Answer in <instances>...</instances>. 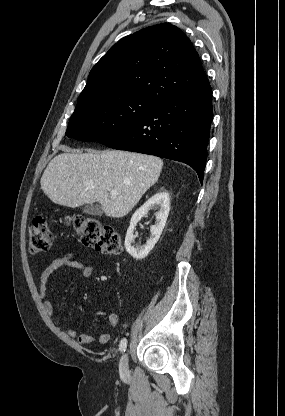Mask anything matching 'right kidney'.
Instances as JSON below:
<instances>
[{
  "mask_svg": "<svg viewBox=\"0 0 285 416\" xmlns=\"http://www.w3.org/2000/svg\"><path fill=\"white\" fill-rule=\"evenodd\" d=\"M151 208H158L159 212L156 214V224L155 226H150L151 236L148 238L145 246H139V248H134L131 242L133 240V232L135 230V226H137L138 222H140L141 218H144L146 214H148ZM170 210V198L167 192H158L152 198H149L139 210H136L135 214H133L130 220V226L127 230L126 238H125V248L130 254L133 256L135 260H143L148 256L149 252H151L152 248H154L156 242H158L166 224V220L168 218Z\"/></svg>",
  "mask_w": 285,
  "mask_h": 416,
  "instance_id": "ca27d5eb",
  "label": "right kidney"
}]
</instances>
